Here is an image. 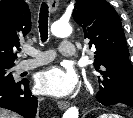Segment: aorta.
<instances>
[{
  "label": "aorta",
  "instance_id": "aorta-1",
  "mask_svg": "<svg viewBox=\"0 0 133 118\" xmlns=\"http://www.w3.org/2000/svg\"><path fill=\"white\" fill-rule=\"evenodd\" d=\"M51 33L56 37L65 38L71 35L72 28L68 23L55 22L51 26ZM63 118H79L78 108L70 107L63 114Z\"/></svg>",
  "mask_w": 133,
  "mask_h": 118
}]
</instances>
